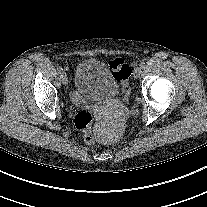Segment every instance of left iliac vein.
Wrapping results in <instances>:
<instances>
[{
	"instance_id": "left-iliac-vein-1",
	"label": "left iliac vein",
	"mask_w": 207,
	"mask_h": 207,
	"mask_svg": "<svg viewBox=\"0 0 207 207\" xmlns=\"http://www.w3.org/2000/svg\"><path fill=\"white\" fill-rule=\"evenodd\" d=\"M141 74V68L140 67H136L134 70V77L138 78Z\"/></svg>"
}]
</instances>
